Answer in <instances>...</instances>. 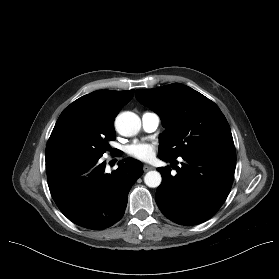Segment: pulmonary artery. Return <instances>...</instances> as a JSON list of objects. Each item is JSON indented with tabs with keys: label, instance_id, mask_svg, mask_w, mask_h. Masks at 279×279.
<instances>
[{
	"label": "pulmonary artery",
	"instance_id": "e3ab8cb5",
	"mask_svg": "<svg viewBox=\"0 0 279 279\" xmlns=\"http://www.w3.org/2000/svg\"><path fill=\"white\" fill-rule=\"evenodd\" d=\"M141 120L143 129L147 132L155 131L161 122L160 116L155 112L143 113Z\"/></svg>",
	"mask_w": 279,
	"mask_h": 279
}]
</instances>
